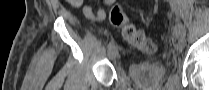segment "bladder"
<instances>
[{
    "mask_svg": "<svg viewBox=\"0 0 209 90\" xmlns=\"http://www.w3.org/2000/svg\"><path fill=\"white\" fill-rule=\"evenodd\" d=\"M167 71L168 66L162 62L134 63L128 68L130 78L145 89L158 86L165 79Z\"/></svg>",
    "mask_w": 209,
    "mask_h": 90,
    "instance_id": "bladder-1",
    "label": "bladder"
}]
</instances>
